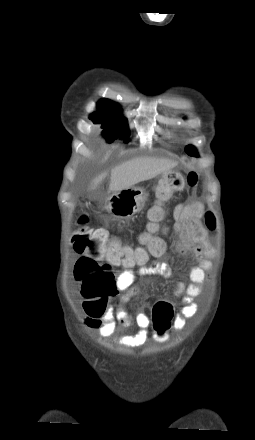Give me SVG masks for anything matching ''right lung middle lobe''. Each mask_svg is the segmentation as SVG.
I'll list each match as a JSON object with an SVG mask.
<instances>
[{
    "label": "right lung middle lobe",
    "mask_w": 255,
    "mask_h": 440,
    "mask_svg": "<svg viewBox=\"0 0 255 440\" xmlns=\"http://www.w3.org/2000/svg\"><path fill=\"white\" fill-rule=\"evenodd\" d=\"M90 119L96 123L101 124L103 129L102 134L107 142H113L115 139H125L128 142L129 132L127 129V119L122 116L119 107H102L98 105V112L93 113Z\"/></svg>",
    "instance_id": "dd1d6c3e"
}]
</instances>
